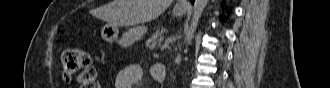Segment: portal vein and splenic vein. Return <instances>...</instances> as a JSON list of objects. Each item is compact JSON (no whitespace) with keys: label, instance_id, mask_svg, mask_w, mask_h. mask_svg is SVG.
I'll return each mask as SVG.
<instances>
[{"label":"portal vein and splenic vein","instance_id":"1","mask_svg":"<svg viewBox=\"0 0 330 88\" xmlns=\"http://www.w3.org/2000/svg\"><path fill=\"white\" fill-rule=\"evenodd\" d=\"M174 40V38H169L165 41V46L169 45L170 43H172V41Z\"/></svg>","mask_w":330,"mask_h":88}]
</instances>
